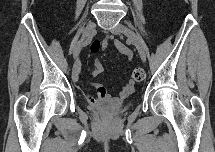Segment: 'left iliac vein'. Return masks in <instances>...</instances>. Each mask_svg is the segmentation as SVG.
Listing matches in <instances>:
<instances>
[{"mask_svg": "<svg viewBox=\"0 0 215 152\" xmlns=\"http://www.w3.org/2000/svg\"><path fill=\"white\" fill-rule=\"evenodd\" d=\"M111 32L115 35L124 34L128 38V40L136 47L142 61L146 60L145 50L143 48L142 42L131 28L123 24H118L116 27L111 29Z\"/></svg>", "mask_w": 215, "mask_h": 152, "instance_id": "obj_1", "label": "left iliac vein"}]
</instances>
